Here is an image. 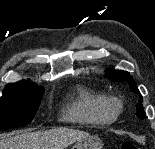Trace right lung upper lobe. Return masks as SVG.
<instances>
[{"instance_id": "right-lung-upper-lobe-1", "label": "right lung upper lobe", "mask_w": 155, "mask_h": 149, "mask_svg": "<svg viewBox=\"0 0 155 149\" xmlns=\"http://www.w3.org/2000/svg\"><path fill=\"white\" fill-rule=\"evenodd\" d=\"M25 82H31V81L23 80V81H20V82H18V83H25Z\"/></svg>"}]
</instances>
